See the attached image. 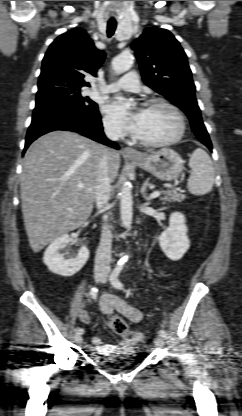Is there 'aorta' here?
Listing matches in <instances>:
<instances>
[{
    "label": "aorta",
    "instance_id": "obj_1",
    "mask_svg": "<svg viewBox=\"0 0 242 416\" xmlns=\"http://www.w3.org/2000/svg\"><path fill=\"white\" fill-rule=\"evenodd\" d=\"M133 64V57L129 52H124L116 56L112 60V68L117 74L128 71ZM120 196V214L122 224L126 229H130L133 217V201L131 193V184L129 181H125L122 185ZM128 259V256H123L119 261V265H123Z\"/></svg>",
    "mask_w": 242,
    "mask_h": 416
}]
</instances>
